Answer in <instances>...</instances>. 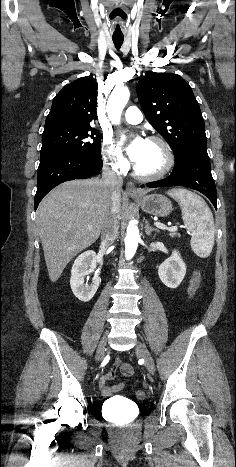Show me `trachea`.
<instances>
[{
    "instance_id": "trachea-1",
    "label": "trachea",
    "mask_w": 236,
    "mask_h": 467,
    "mask_svg": "<svg viewBox=\"0 0 236 467\" xmlns=\"http://www.w3.org/2000/svg\"><path fill=\"white\" fill-rule=\"evenodd\" d=\"M113 43L117 49H119L123 43V38L113 37Z\"/></svg>"
}]
</instances>
